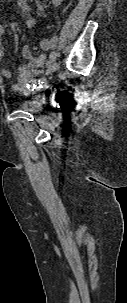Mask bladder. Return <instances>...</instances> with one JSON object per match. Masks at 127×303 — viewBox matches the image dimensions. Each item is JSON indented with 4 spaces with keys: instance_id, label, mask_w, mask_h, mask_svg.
Wrapping results in <instances>:
<instances>
[{
    "instance_id": "1",
    "label": "bladder",
    "mask_w": 127,
    "mask_h": 303,
    "mask_svg": "<svg viewBox=\"0 0 127 303\" xmlns=\"http://www.w3.org/2000/svg\"><path fill=\"white\" fill-rule=\"evenodd\" d=\"M17 106L24 111L38 112L42 104L37 97L27 95L17 101Z\"/></svg>"
}]
</instances>
